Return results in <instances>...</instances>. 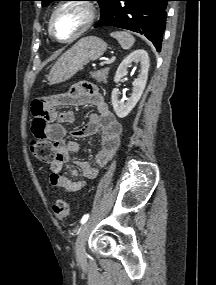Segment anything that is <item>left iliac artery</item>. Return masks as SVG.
Listing matches in <instances>:
<instances>
[{
	"label": "left iliac artery",
	"mask_w": 216,
	"mask_h": 285,
	"mask_svg": "<svg viewBox=\"0 0 216 285\" xmlns=\"http://www.w3.org/2000/svg\"><path fill=\"white\" fill-rule=\"evenodd\" d=\"M89 218V214H85L81 219V224H84Z\"/></svg>",
	"instance_id": "44dca946"
}]
</instances>
